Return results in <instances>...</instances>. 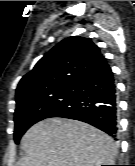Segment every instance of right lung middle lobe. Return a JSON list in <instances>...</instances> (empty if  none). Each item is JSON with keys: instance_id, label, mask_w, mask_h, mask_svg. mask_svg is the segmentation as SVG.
I'll list each match as a JSON object with an SVG mask.
<instances>
[{"instance_id": "1", "label": "right lung middle lobe", "mask_w": 135, "mask_h": 166, "mask_svg": "<svg viewBox=\"0 0 135 166\" xmlns=\"http://www.w3.org/2000/svg\"><path fill=\"white\" fill-rule=\"evenodd\" d=\"M74 96V87H66L50 96L39 98L16 107L14 140L18 144L21 136L33 124L50 118L58 110L66 108Z\"/></svg>"}]
</instances>
